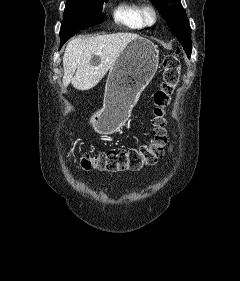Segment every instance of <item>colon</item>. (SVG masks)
<instances>
[{"label": "colon", "mask_w": 240, "mask_h": 281, "mask_svg": "<svg viewBox=\"0 0 240 281\" xmlns=\"http://www.w3.org/2000/svg\"><path fill=\"white\" fill-rule=\"evenodd\" d=\"M181 60L177 52L168 54L163 60V81L154 94L153 138L138 148L111 149L96 154L86 153L79 158L80 166L85 170L106 172L137 171L155 164L166 149L165 113L172 95L179 83Z\"/></svg>", "instance_id": "5ec220e1"}]
</instances>
